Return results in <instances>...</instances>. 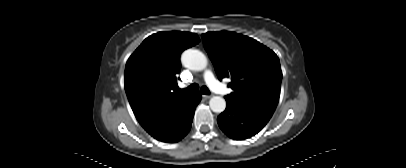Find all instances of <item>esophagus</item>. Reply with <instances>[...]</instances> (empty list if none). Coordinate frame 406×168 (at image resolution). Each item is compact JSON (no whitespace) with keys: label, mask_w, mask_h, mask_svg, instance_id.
<instances>
[{"label":"esophagus","mask_w":406,"mask_h":168,"mask_svg":"<svg viewBox=\"0 0 406 168\" xmlns=\"http://www.w3.org/2000/svg\"><path fill=\"white\" fill-rule=\"evenodd\" d=\"M202 96H203V98H205V99L211 98V95H202Z\"/></svg>","instance_id":"esophagus-1"}]
</instances>
